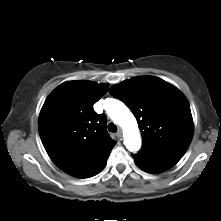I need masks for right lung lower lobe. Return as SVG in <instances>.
Returning <instances> with one entry per match:
<instances>
[{
	"mask_svg": "<svg viewBox=\"0 0 221 221\" xmlns=\"http://www.w3.org/2000/svg\"><path fill=\"white\" fill-rule=\"evenodd\" d=\"M106 162H107V159L104 162H102L101 164H99L98 166H96L95 168L85 171V172H82V173H79V174L75 175V177L88 178V177L94 176V175L98 174L105 167Z\"/></svg>",
	"mask_w": 221,
	"mask_h": 221,
	"instance_id": "1",
	"label": "right lung lower lobe"
}]
</instances>
